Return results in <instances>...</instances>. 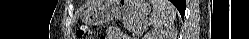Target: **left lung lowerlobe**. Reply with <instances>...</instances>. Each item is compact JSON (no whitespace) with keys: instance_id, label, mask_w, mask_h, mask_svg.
Wrapping results in <instances>:
<instances>
[{"instance_id":"1","label":"left lung lower lobe","mask_w":249,"mask_h":39,"mask_svg":"<svg viewBox=\"0 0 249 39\" xmlns=\"http://www.w3.org/2000/svg\"><path fill=\"white\" fill-rule=\"evenodd\" d=\"M171 2L176 6L181 16L184 17L185 14V1L184 0H171Z\"/></svg>"}]
</instances>
